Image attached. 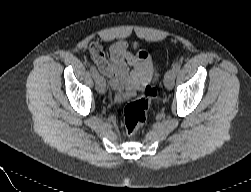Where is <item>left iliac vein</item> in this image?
Here are the masks:
<instances>
[{"instance_id":"left-iliac-vein-1","label":"left iliac vein","mask_w":251,"mask_h":192,"mask_svg":"<svg viewBox=\"0 0 251 192\" xmlns=\"http://www.w3.org/2000/svg\"><path fill=\"white\" fill-rule=\"evenodd\" d=\"M176 73L173 70L167 71L164 78V85L168 90H171L174 86Z\"/></svg>"}]
</instances>
